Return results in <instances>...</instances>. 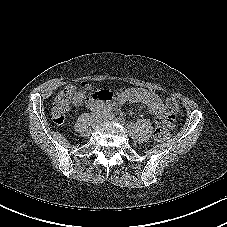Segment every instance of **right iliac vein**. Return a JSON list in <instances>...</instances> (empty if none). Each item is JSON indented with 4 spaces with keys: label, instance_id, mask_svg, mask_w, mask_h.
Listing matches in <instances>:
<instances>
[{
    "label": "right iliac vein",
    "instance_id": "63e3f726",
    "mask_svg": "<svg viewBox=\"0 0 227 227\" xmlns=\"http://www.w3.org/2000/svg\"><path fill=\"white\" fill-rule=\"evenodd\" d=\"M99 123V120L95 121V124H98Z\"/></svg>",
    "mask_w": 227,
    "mask_h": 227
}]
</instances>
